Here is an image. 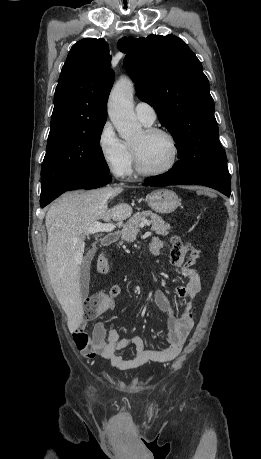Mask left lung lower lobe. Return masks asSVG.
I'll return each instance as SVG.
<instances>
[{
	"label": "left lung lower lobe",
	"instance_id": "1",
	"mask_svg": "<svg viewBox=\"0 0 261 459\" xmlns=\"http://www.w3.org/2000/svg\"><path fill=\"white\" fill-rule=\"evenodd\" d=\"M177 184H198L211 187L230 196V175L226 163L203 166L190 173L183 174L175 169L163 175L150 177L144 181L145 186H167Z\"/></svg>",
	"mask_w": 261,
	"mask_h": 459
}]
</instances>
